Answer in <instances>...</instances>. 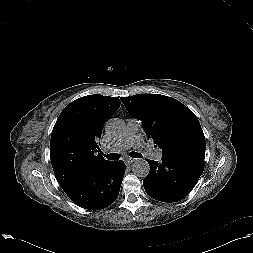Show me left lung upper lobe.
<instances>
[{"label":"left lung upper lobe","instance_id":"left-lung-upper-lobe-1","mask_svg":"<svg viewBox=\"0 0 253 253\" xmlns=\"http://www.w3.org/2000/svg\"><path fill=\"white\" fill-rule=\"evenodd\" d=\"M121 101L154 143L162 156L205 157L206 142L195 114L174 98L160 94H137Z\"/></svg>","mask_w":253,"mask_h":253}]
</instances>
